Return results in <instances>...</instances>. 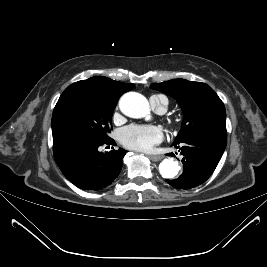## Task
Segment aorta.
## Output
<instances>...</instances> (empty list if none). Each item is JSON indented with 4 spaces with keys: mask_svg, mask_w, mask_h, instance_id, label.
<instances>
[{
    "mask_svg": "<svg viewBox=\"0 0 267 267\" xmlns=\"http://www.w3.org/2000/svg\"><path fill=\"white\" fill-rule=\"evenodd\" d=\"M121 112L131 118H142L149 114L148 100L137 92L124 94L119 101ZM180 170V166L174 159H164L159 165V172L163 178L172 179Z\"/></svg>",
    "mask_w": 267,
    "mask_h": 267,
    "instance_id": "obj_1",
    "label": "aorta"
}]
</instances>
